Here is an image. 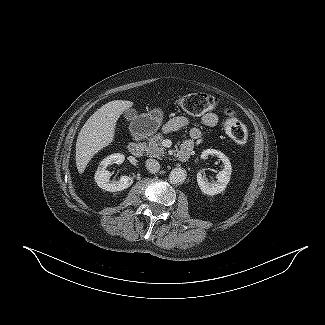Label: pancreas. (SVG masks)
<instances>
[{
	"label": "pancreas",
	"instance_id": "cf45deb5",
	"mask_svg": "<svg viewBox=\"0 0 325 325\" xmlns=\"http://www.w3.org/2000/svg\"><path fill=\"white\" fill-rule=\"evenodd\" d=\"M163 140L162 134H155L149 139L148 145L145 151L149 157H154L160 159L166 154V149L162 146L161 142Z\"/></svg>",
	"mask_w": 325,
	"mask_h": 325
}]
</instances>
